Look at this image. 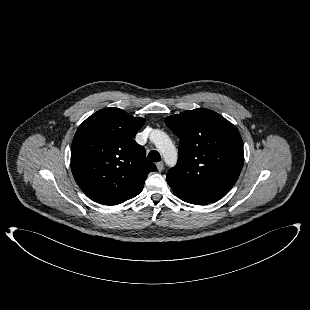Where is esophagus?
<instances>
[{"mask_svg": "<svg viewBox=\"0 0 310 310\" xmlns=\"http://www.w3.org/2000/svg\"><path fill=\"white\" fill-rule=\"evenodd\" d=\"M156 166H157L158 171L161 172L164 168V163L162 161L158 162Z\"/></svg>", "mask_w": 310, "mask_h": 310, "instance_id": "34e87169", "label": "esophagus"}]
</instances>
